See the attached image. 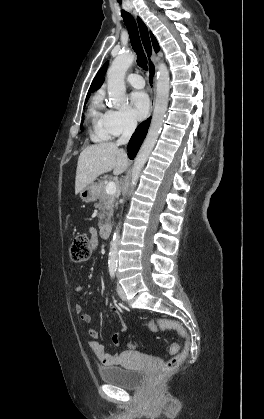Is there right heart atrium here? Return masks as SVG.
Here are the masks:
<instances>
[{
    "mask_svg": "<svg viewBox=\"0 0 264 419\" xmlns=\"http://www.w3.org/2000/svg\"><path fill=\"white\" fill-rule=\"evenodd\" d=\"M106 123L111 136L131 133L137 126V121L128 108L109 110Z\"/></svg>",
    "mask_w": 264,
    "mask_h": 419,
    "instance_id": "obj_1",
    "label": "right heart atrium"
}]
</instances>
